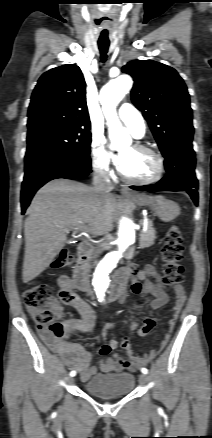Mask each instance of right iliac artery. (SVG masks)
Returning a JSON list of instances; mask_svg holds the SVG:
<instances>
[{"instance_id": "82829eb1", "label": "right iliac artery", "mask_w": 212, "mask_h": 438, "mask_svg": "<svg viewBox=\"0 0 212 438\" xmlns=\"http://www.w3.org/2000/svg\"><path fill=\"white\" fill-rule=\"evenodd\" d=\"M75 375H76V371H71V372H70V376L73 377V376H75Z\"/></svg>"}]
</instances>
